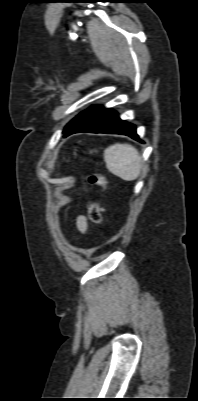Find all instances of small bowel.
I'll list each match as a JSON object with an SVG mask.
<instances>
[{"mask_svg":"<svg viewBox=\"0 0 198 401\" xmlns=\"http://www.w3.org/2000/svg\"><path fill=\"white\" fill-rule=\"evenodd\" d=\"M77 228L80 232L85 233L87 231V220L85 216H79L76 221Z\"/></svg>","mask_w":198,"mask_h":401,"instance_id":"c3829d8e","label":"small bowel"}]
</instances>
